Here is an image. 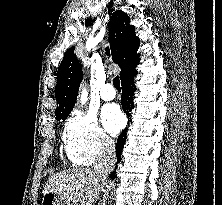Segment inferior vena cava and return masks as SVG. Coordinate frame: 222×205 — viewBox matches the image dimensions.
Segmentation results:
<instances>
[{
  "instance_id": "inferior-vena-cava-1",
  "label": "inferior vena cava",
  "mask_w": 222,
  "mask_h": 205,
  "mask_svg": "<svg viewBox=\"0 0 222 205\" xmlns=\"http://www.w3.org/2000/svg\"><path fill=\"white\" fill-rule=\"evenodd\" d=\"M115 163V143L111 138H106L103 143V149L94 163V171L104 181L114 169Z\"/></svg>"
}]
</instances>
